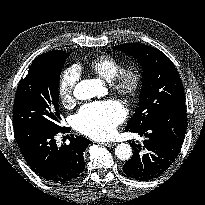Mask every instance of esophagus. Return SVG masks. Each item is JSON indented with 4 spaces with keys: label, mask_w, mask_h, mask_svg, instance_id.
I'll return each instance as SVG.
<instances>
[{
    "label": "esophagus",
    "mask_w": 205,
    "mask_h": 205,
    "mask_svg": "<svg viewBox=\"0 0 205 205\" xmlns=\"http://www.w3.org/2000/svg\"><path fill=\"white\" fill-rule=\"evenodd\" d=\"M102 145L107 146V147H113L116 145L115 142H106V143H102Z\"/></svg>",
    "instance_id": "34e87169"
}]
</instances>
